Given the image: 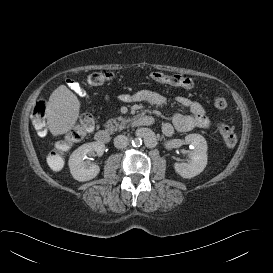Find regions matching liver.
<instances>
[{
	"label": "liver",
	"instance_id": "6515ba94",
	"mask_svg": "<svg viewBox=\"0 0 273 273\" xmlns=\"http://www.w3.org/2000/svg\"><path fill=\"white\" fill-rule=\"evenodd\" d=\"M80 102L65 85L59 86L50 95L46 119L53 136L70 131L79 117Z\"/></svg>",
	"mask_w": 273,
	"mask_h": 273
}]
</instances>
